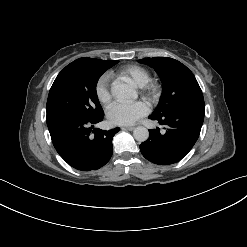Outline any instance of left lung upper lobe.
I'll return each instance as SVG.
<instances>
[{
    "instance_id": "5c2ea615",
    "label": "left lung upper lobe",
    "mask_w": 247,
    "mask_h": 247,
    "mask_svg": "<svg viewBox=\"0 0 247 247\" xmlns=\"http://www.w3.org/2000/svg\"><path fill=\"white\" fill-rule=\"evenodd\" d=\"M139 62L153 67L163 83V94L152 117H163L181 109L205 110L204 98L193 73L181 62L168 57L144 58Z\"/></svg>"
}]
</instances>
